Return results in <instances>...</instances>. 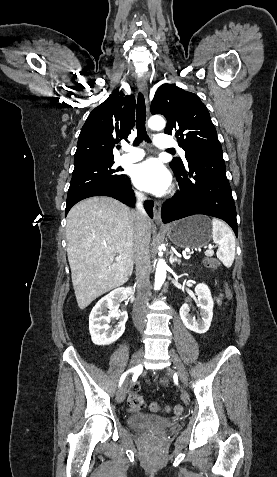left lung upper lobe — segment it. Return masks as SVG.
I'll return each instance as SVG.
<instances>
[{
	"mask_svg": "<svg viewBox=\"0 0 277 477\" xmlns=\"http://www.w3.org/2000/svg\"><path fill=\"white\" fill-rule=\"evenodd\" d=\"M152 114L167 119L166 134H174L187 158L204 150H222L208 109L199 97L172 84H163L151 103ZM172 168H184L181 159L170 163Z\"/></svg>",
	"mask_w": 277,
	"mask_h": 477,
	"instance_id": "obj_1",
	"label": "left lung upper lobe"
}]
</instances>
